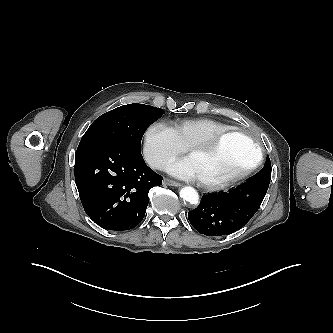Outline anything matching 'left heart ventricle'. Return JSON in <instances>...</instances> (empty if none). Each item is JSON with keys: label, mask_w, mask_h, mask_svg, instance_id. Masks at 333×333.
<instances>
[{"label": "left heart ventricle", "mask_w": 333, "mask_h": 333, "mask_svg": "<svg viewBox=\"0 0 333 333\" xmlns=\"http://www.w3.org/2000/svg\"><path fill=\"white\" fill-rule=\"evenodd\" d=\"M189 157L198 178L220 181L248 167L256 157V150L247 137L233 134L225 137L213 150L196 151Z\"/></svg>", "instance_id": "1"}]
</instances>
